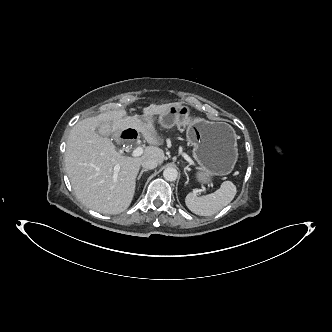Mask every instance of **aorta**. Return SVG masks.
Instances as JSON below:
<instances>
[{
  "label": "aorta",
  "instance_id": "obj_1",
  "mask_svg": "<svg viewBox=\"0 0 332 332\" xmlns=\"http://www.w3.org/2000/svg\"><path fill=\"white\" fill-rule=\"evenodd\" d=\"M163 177H164L165 180L173 182L178 177V171L173 167H167L163 171Z\"/></svg>",
  "mask_w": 332,
  "mask_h": 332
}]
</instances>
